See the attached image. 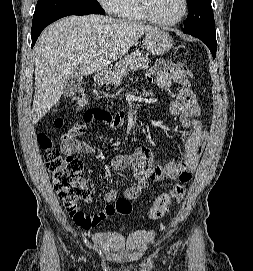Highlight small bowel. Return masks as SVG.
Masks as SVG:
<instances>
[{
    "label": "small bowel",
    "mask_w": 253,
    "mask_h": 271,
    "mask_svg": "<svg viewBox=\"0 0 253 271\" xmlns=\"http://www.w3.org/2000/svg\"><path fill=\"white\" fill-rule=\"evenodd\" d=\"M190 73L177 65L161 60L148 72L149 81L153 82L161 91L170 92L172 83L179 85L176 93L171 95L169 100V113L176 116L187 138L184 145L183 158L180 161L170 160L165 165H156L153 154L149 147L140 146L129 154H118L112 159V166L116 170L132 168L133 178L136 184L125 191V197L129 200L137 199L148 187L150 180L161 181L166 179H179L184 172H192L198 165L202 149L207 141L208 135L203 124L197 119L201 109L195 95L190 88ZM108 127L114 126V119L102 121ZM100 122L93 119H86L71 128L62 136L61 149L66 154H93L95 149L87 142L77 138V135L85 132L93 124ZM118 198L116 190H109L105 194V200L109 203ZM111 204L104 206L99 212L93 214L96 224L114 215ZM95 224V225H96Z\"/></svg>",
    "instance_id": "1"
}]
</instances>
